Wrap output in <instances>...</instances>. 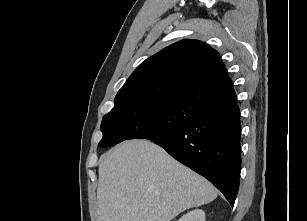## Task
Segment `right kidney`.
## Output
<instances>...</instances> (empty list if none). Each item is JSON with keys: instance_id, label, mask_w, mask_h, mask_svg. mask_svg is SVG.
<instances>
[{"instance_id": "ca27d5eb", "label": "right kidney", "mask_w": 307, "mask_h": 221, "mask_svg": "<svg viewBox=\"0 0 307 221\" xmlns=\"http://www.w3.org/2000/svg\"><path fill=\"white\" fill-rule=\"evenodd\" d=\"M177 221H205V212L203 210H192L187 214L183 215Z\"/></svg>"}]
</instances>
